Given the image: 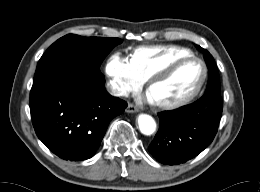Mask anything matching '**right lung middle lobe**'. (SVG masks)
Segmentation results:
<instances>
[{"label": "right lung middle lobe", "mask_w": 260, "mask_h": 192, "mask_svg": "<svg viewBox=\"0 0 260 192\" xmlns=\"http://www.w3.org/2000/svg\"><path fill=\"white\" fill-rule=\"evenodd\" d=\"M122 42L119 38L82 37L68 34L54 42L39 60L34 81L63 66L100 71L107 54Z\"/></svg>", "instance_id": "right-lung-middle-lobe-1"}]
</instances>
